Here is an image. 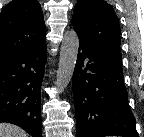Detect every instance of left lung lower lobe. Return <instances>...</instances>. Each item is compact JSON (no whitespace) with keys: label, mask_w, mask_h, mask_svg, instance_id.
I'll return each mask as SVG.
<instances>
[{"label":"left lung lower lobe","mask_w":144,"mask_h":137,"mask_svg":"<svg viewBox=\"0 0 144 137\" xmlns=\"http://www.w3.org/2000/svg\"><path fill=\"white\" fill-rule=\"evenodd\" d=\"M72 84L78 137H138L128 106L122 59L79 39Z\"/></svg>","instance_id":"obj_1"}]
</instances>
